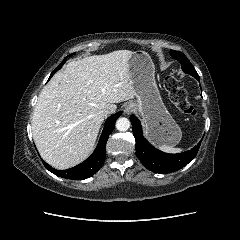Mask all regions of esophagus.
I'll list each match as a JSON object with an SVG mask.
<instances>
[{
  "instance_id": "1",
  "label": "esophagus",
  "mask_w": 240,
  "mask_h": 240,
  "mask_svg": "<svg viewBox=\"0 0 240 240\" xmlns=\"http://www.w3.org/2000/svg\"><path fill=\"white\" fill-rule=\"evenodd\" d=\"M134 110H135L134 104H133V103H129V104H127V105L125 106V108H124V113L127 114V115H129V114H131L132 112H134Z\"/></svg>"
}]
</instances>
